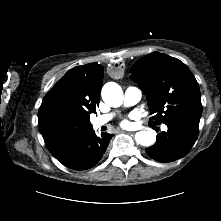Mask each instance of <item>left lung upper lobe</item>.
<instances>
[{
	"label": "left lung upper lobe",
	"mask_w": 221,
	"mask_h": 221,
	"mask_svg": "<svg viewBox=\"0 0 221 221\" xmlns=\"http://www.w3.org/2000/svg\"><path fill=\"white\" fill-rule=\"evenodd\" d=\"M130 78L147 96L150 124L189 117H201L202 105L198 82L180 60L159 52L139 59L131 69Z\"/></svg>",
	"instance_id": "1"
}]
</instances>
